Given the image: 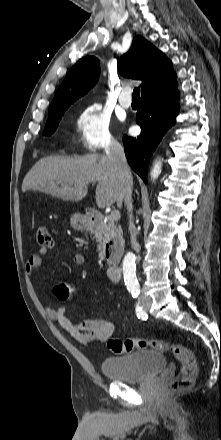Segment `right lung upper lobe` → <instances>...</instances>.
<instances>
[{
    "instance_id": "cb5924a9",
    "label": "right lung upper lobe",
    "mask_w": 221,
    "mask_h": 440,
    "mask_svg": "<svg viewBox=\"0 0 221 440\" xmlns=\"http://www.w3.org/2000/svg\"><path fill=\"white\" fill-rule=\"evenodd\" d=\"M121 75L142 80V96L158 91L175 80L171 61L142 36H135L131 48L118 61ZM99 60L89 56L79 60L59 87L49 109L70 106L98 81Z\"/></svg>"
}]
</instances>
